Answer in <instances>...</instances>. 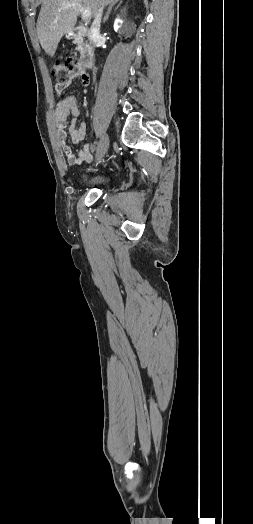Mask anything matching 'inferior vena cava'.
Listing matches in <instances>:
<instances>
[{
	"label": "inferior vena cava",
	"mask_w": 253,
	"mask_h": 524,
	"mask_svg": "<svg viewBox=\"0 0 253 524\" xmlns=\"http://www.w3.org/2000/svg\"><path fill=\"white\" fill-rule=\"evenodd\" d=\"M102 13H103V7L99 8L98 13L95 16L91 29H90V39L93 42H96L100 38V25H101Z\"/></svg>",
	"instance_id": "602c4592"
}]
</instances>
